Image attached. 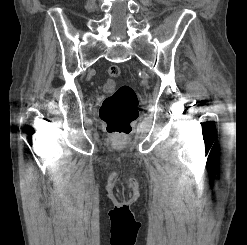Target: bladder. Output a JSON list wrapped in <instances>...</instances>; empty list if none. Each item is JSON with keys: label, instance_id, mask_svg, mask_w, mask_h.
I'll return each instance as SVG.
<instances>
[{"label": "bladder", "instance_id": "bladder-1", "mask_svg": "<svg viewBox=\"0 0 247 245\" xmlns=\"http://www.w3.org/2000/svg\"><path fill=\"white\" fill-rule=\"evenodd\" d=\"M112 86H113V83L108 82V83H106L105 88L108 89V88H111Z\"/></svg>", "mask_w": 247, "mask_h": 245}]
</instances>
